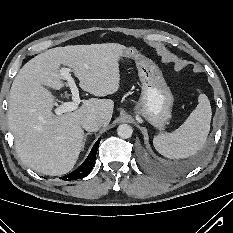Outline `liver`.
<instances>
[{"mask_svg":"<svg viewBox=\"0 0 233 233\" xmlns=\"http://www.w3.org/2000/svg\"><path fill=\"white\" fill-rule=\"evenodd\" d=\"M124 50L117 43L56 47L19 70L10 89L7 118L16 151L29 168L51 176L67 174L82 148V119L93 114L107 126L112 118L113 100L98 98H90L74 111L53 114L54 96L44 86L56 90L64 86L60 65L73 71L81 89L104 97L120 87L118 62Z\"/></svg>","mask_w":233,"mask_h":233,"instance_id":"6515ba94","label":"liver"}]
</instances>
